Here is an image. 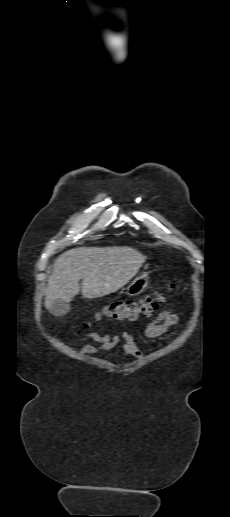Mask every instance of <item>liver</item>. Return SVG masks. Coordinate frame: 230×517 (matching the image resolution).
Segmentation results:
<instances>
[{"label": "liver", "instance_id": "6515ba94", "mask_svg": "<svg viewBox=\"0 0 230 517\" xmlns=\"http://www.w3.org/2000/svg\"><path fill=\"white\" fill-rule=\"evenodd\" d=\"M146 256L130 247H78L61 254L48 280L45 306L70 302L80 291L92 299L116 292L139 271Z\"/></svg>", "mask_w": 230, "mask_h": 517}]
</instances>
